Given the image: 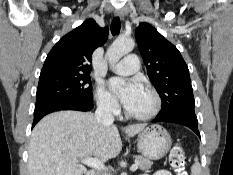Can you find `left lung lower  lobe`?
<instances>
[{
	"mask_svg": "<svg viewBox=\"0 0 233 175\" xmlns=\"http://www.w3.org/2000/svg\"><path fill=\"white\" fill-rule=\"evenodd\" d=\"M152 122H171L184 125L193 130L199 137L198 120L194 112H177L164 116H156Z\"/></svg>",
	"mask_w": 233,
	"mask_h": 175,
	"instance_id": "0a47b994",
	"label": "left lung lower lobe"
}]
</instances>
